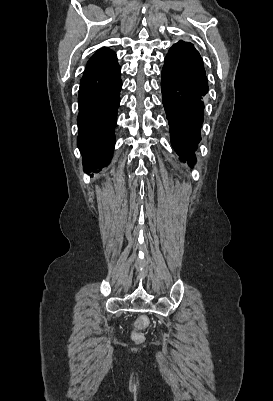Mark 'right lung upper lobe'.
<instances>
[{"label":"right lung upper lobe","mask_w":273,"mask_h":401,"mask_svg":"<svg viewBox=\"0 0 273 401\" xmlns=\"http://www.w3.org/2000/svg\"><path fill=\"white\" fill-rule=\"evenodd\" d=\"M116 59V54L112 50L103 47L99 49L88 61L85 72L110 64Z\"/></svg>","instance_id":"right-lung-upper-lobe-1"}]
</instances>
